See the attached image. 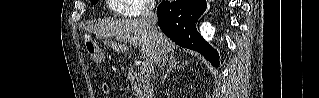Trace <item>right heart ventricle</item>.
<instances>
[{
	"label": "right heart ventricle",
	"mask_w": 319,
	"mask_h": 98,
	"mask_svg": "<svg viewBox=\"0 0 319 98\" xmlns=\"http://www.w3.org/2000/svg\"><path fill=\"white\" fill-rule=\"evenodd\" d=\"M111 3H112V7L118 12H121L126 6V3L124 0H112Z\"/></svg>",
	"instance_id": "obj_1"
}]
</instances>
